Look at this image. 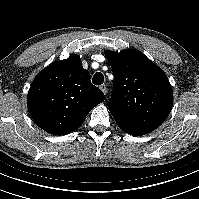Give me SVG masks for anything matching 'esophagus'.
<instances>
[{
	"instance_id": "esophagus-1",
	"label": "esophagus",
	"mask_w": 199,
	"mask_h": 199,
	"mask_svg": "<svg viewBox=\"0 0 199 199\" xmlns=\"http://www.w3.org/2000/svg\"><path fill=\"white\" fill-rule=\"evenodd\" d=\"M99 88H100V90H101L104 94L107 93V87H106L105 84H102Z\"/></svg>"
}]
</instances>
